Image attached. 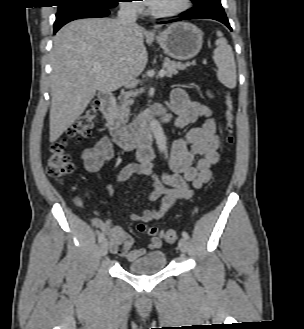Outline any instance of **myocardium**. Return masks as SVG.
Instances as JSON below:
<instances>
[{
    "mask_svg": "<svg viewBox=\"0 0 304 329\" xmlns=\"http://www.w3.org/2000/svg\"><path fill=\"white\" fill-rule=\"evenodd\" d=\"M190 6L191 0H182L178 7L170 10L157 11L149 6L147 11L151 16L156 18H171L184 13L190 8Z\"/></svg>",
    "mask_w": 304,
    "mask_h": 329,
    "instance_id": "obj_1",
    "label": "myocardium"
}]
</instances>
